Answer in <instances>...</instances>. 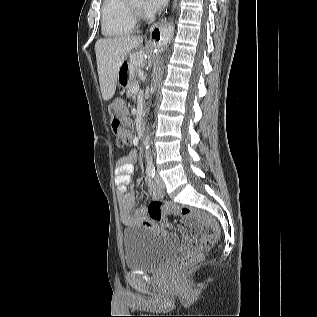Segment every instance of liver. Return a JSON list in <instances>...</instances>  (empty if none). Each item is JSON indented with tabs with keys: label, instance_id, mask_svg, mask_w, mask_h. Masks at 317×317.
<instances>
[{
	"label": "liver",
	"instance_id": "liver-1",
	"mask_svg": "<svg viewBox=\"0 0 317 317\" xmlns=\"http://www.w3.org/2000/svg\"><path fill=\"white\" fill-rule=\"evenodd\" d=\"M143 43L140 36H120L97 40L95 53L100 89L105 101L115 94L118 73L128 53L139 48ZM143 56L138 54L137 64H143Z\"/></svg>",
	"mask_w": 317,
	"mask_h": 317
}]
</instances>
